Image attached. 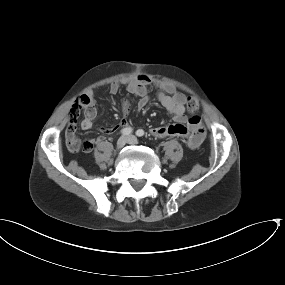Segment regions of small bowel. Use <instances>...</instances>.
I'll return each mask as SVG.
<instances>
[{
	"label": "small bowel",
	"mask_w": 285,
	"mask_h": 285,
	"mask_svg": "<svg viewBox=\"0 0 285 285\" xmlns=\"http://www.w3.org/2000/svg\"><path fill=\"white\" fill-rule=\"evenodd\" d=\"M154 83L156 86L165 88L168 93L160 92L157 96L160 104L173 115L174 123L166 126L154 127L150 130L151 136L155 138H166V137H176L180 136L183 138L184 144L187 148L194 150L198 148L206 137V130L203 126L202 119L198 115H191L189 117L185 116L186 112V96L181 92H174L173 88L167 85H163L157 79L148 77L146 75H138L137 77L127 81L125 83L126 90L138 97V107L144 108L150 102V97L148 94V86ZM120 83L113 82L109 85L108 91L110 94L115 95L120 90ZM85 94L91 97L93 101L95 98L94 91L92 89H87ZM130 102L124 100L122 102V111L124 116H126L130 111ZM96 111L94 108H90L86 111L85 119L82 121V127L84 129L94 128V117ZM70 124V123H69ZM69 124L65 131L66 145L70 152L78 153L90 152L96 139H87L82 142L81 146L78 147L73 136L76 130V124L73 123L72 127L69 128ZM127 128V120L122 118L115 126L110 129L99 126L98 130L103 133H114L118 130Z\"/></svg>",
	"instance_id": "obj_1"
}]
</instances>
